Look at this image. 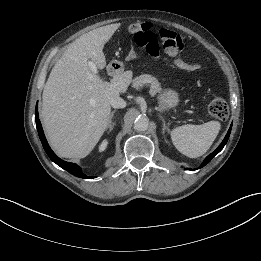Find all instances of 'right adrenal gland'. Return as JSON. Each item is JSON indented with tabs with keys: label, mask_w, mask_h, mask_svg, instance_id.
Returning <instances> with one entry per match:
<instances>
[{
	"label": "right adrenal gland",
	"mask_w": 261,
	"mask_h": 261,
	"mask_svg": "<svg viewBox=\"0 0 261 261\" xmlns=\"http://www.w3.org/2000/svg\"><path fill=\"white\" fill-rule=\"evenodd\" d=\"M115 112H116V110H113L111 112L110 121H109V125H108V133L111 132L113 127H114V123L112 122V119H113V116H114Z\"/></svg>",
	"instance_id": "right-adrenal-gland-1"
}]
</instances>
